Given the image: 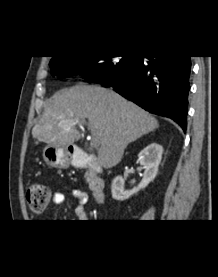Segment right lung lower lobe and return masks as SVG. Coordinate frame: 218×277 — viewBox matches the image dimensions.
<instances>
[{
  "mask_svg": "<svg viewBox=\"0 0 218 277\" xmlns=\"http://www.w3.org/2000/svg\"><path fill=\"white\" fill-rule=\"evenodd\" d=\"M190 56H139L116 82L90 81L112 87L145 110L187 126Z\"/></svg>",
  "mask_w": 218,
  "mask_h": 277,
  "instance_id": "98d812e1",
  "label": "right lung lower lobe"
}]
</instances>
